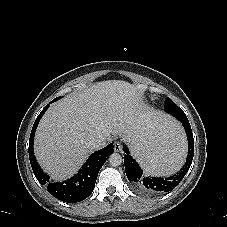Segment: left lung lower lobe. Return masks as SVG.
Masks as SVG:
<instances>
[{
  "mask_svg": "<svg viewBox=\"0 0 227 227\" xmlns=\"http://www.w3.org/2000/svg\"><path fill=\"white\" fill-rule=\"evenodd\" d=\"M164 110L182 123L188 138V155L184 166L176 174L165 178L146 177L138 163L130 156L128 148L124 146V152L126 153L124 165L127 178L135 190L145 195H161L173 190L182 181L193 160L194 139L186 114L169 97L165 100Z\"/></svg>",
  "mask_w": 227,
  "mask_h": 227,
  "instance_id": "obj_1",
  "label": "left lung lower lobe"
}]
</instances>
